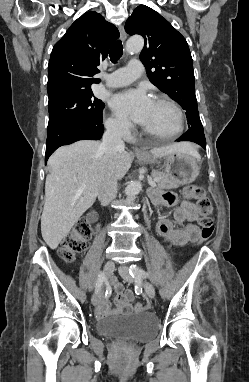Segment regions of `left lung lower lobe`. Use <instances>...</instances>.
<instances>
[{
	"mask_svg": "<svg viewBox=\"0 0 249 382\" xmlns=\"http://www.w3.org/2000/svg\"><path fill=\"white\" fill-rule=\"evenodd\" d=\"M176 141H192L206 149V140L203 129H188V131Z\"/></svg>",
	"mask_w": 249,
	"mask_h": 382,
	"instance_id": "0a47b994",
	"label": "left lung lower lobe"
}]
</instances>
